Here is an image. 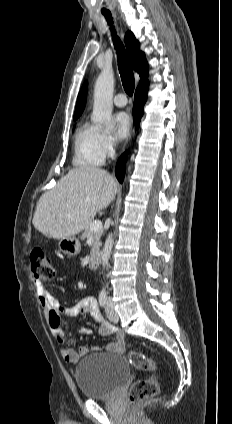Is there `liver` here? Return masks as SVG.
<instances>
[{
    "mask_svg": "<svg viewBox=\"0 0 232 424\" xmlns=\"http://www.w3.org/2000/svg\"><path fill=\"white\" fill-rule=\"evenodd\" d=\"M117 186L115 178L103 169L74 168L40 197L33 225L54 239L74 236L88 227L98 211L110 205Z\"/></svg>",
    "mask_w": 232,
    "mask_h": 424,
    "instance_id": "liver-1",
    "label": "liver"
}]
</instances>
